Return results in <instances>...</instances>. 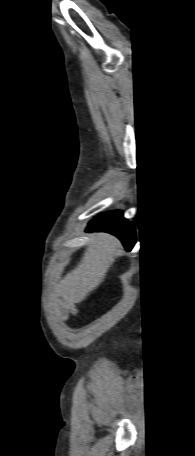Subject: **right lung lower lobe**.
I'll list each match as a JSON object with an SVG mask.
<instances>
[{
  "label": "right lung lower lobe",
  "mask_w": 195,
  "mask_h": 456,
  "mask_svg": "<svg viewBox=\"0 0 195 456\" xmlns=\"http://www.w3.org/2000/svg\"><path fill=\"white\" fill-rule=\"evenodd\" d=\"M87 231L111 233L122 241L127 250L135 245L134 229L119 211L100 214L89 223Z\"/></svg>",
  "instance_id": "right-lung-lower-lobe-1"
}]
</instances>
